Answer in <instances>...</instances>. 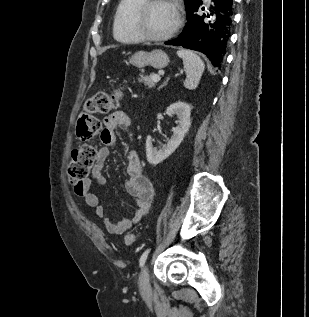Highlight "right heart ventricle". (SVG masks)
I'll use <instances>...</instances> for the list:
<instances>
[{"instance_id":"right-heart-ventricle-1","label":"right heart ventricle","mask_w":309,"mask_h":317,"mask_svg":"<svg viewBox=\"0 0 309 317\" xmlns=\"http://www.w3.org/2000/svg\"><path fill=\"white\" fill-rule=\"evenodd\" d=\"M144 0H120L113 18L112 31L114 38L121 43H136L141 39L131 26L132 15Z\"/></svg>"}]
</instances>
